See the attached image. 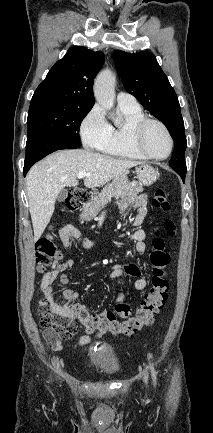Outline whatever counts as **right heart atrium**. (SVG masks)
<instances>
[{
	"instance_id": "1",
	"label": "right heart atrium",
	"mask_w": 213,
	"mask_h": 433,
	"mask_svg": "<svg viewBox=\"0 0 213 433\" xmlns=\"http://www.w3.org/2000/svg\"><path fill=\"white\" fill-rule=\"evenodd\" d=\"M108 131L109 123L102 110L98 106H93L80 124V136L83 144L90 149H99Z\"/></svg>"
}]
</instances>
